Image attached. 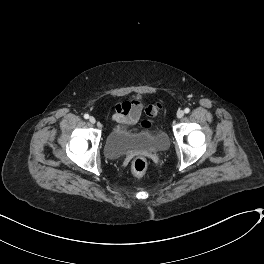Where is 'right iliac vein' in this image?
Segmentation results:
<instances>
[{"label":"right iliac vein","instance_id":"obj_1","mask_svg":"<svg viewBox=\"0 0 264 264\" xmlns=\"http://www.w3.org/2000/svg\"><path fill=\"white\" fill-rule=\"evenodd\" d=\"M89 121L91 122V123H96V119L93 117V116H91L90 118H89Z\"/></svg>","mask_w":264,"mask_h":264}]
</instances>
